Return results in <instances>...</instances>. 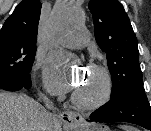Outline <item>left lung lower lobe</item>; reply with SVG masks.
<instances>
[{
    "mask_svg": "<svg viewBox=\"0 0 151 131\" xmlns=\"http://www.w3.org/2000/svg\"><path fill=\"white\" fill-rule=\"evenodd\" d=\"M91 122H128L151 130V107L143 85H134L95 110Z\"/></svg>",
    "mask_w": 151,
    "mask_h": 131,
    "instance_id": "1",
    "label": "left lung lower lobe"
}]
</instances>
